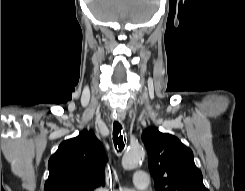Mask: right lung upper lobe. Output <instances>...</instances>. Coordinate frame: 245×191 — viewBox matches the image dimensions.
<instances>
[{
  "instance_id": "cb5924a9",
  "label": "right lung upper lobe",
  "mask_w": 245,
  "mask_h": 191,
  "mask_svg": "<svg viewBox=\"0 0 245 191\" xmlns=\"http://www.w3.org/2000/svg\"><path fill=\"white\" fill-rule=\"evenodd\" d=\"M106 156L93 132L63 141L48 162L44 191H94L103 187Z\"/></svg>"
}]
</instances>
